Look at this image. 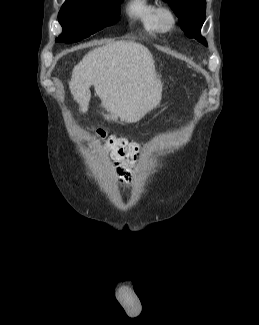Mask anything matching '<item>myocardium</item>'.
I'll list each match as a JSON object with an SVG mask.
<instances>
[{
	"mask_svg": "<svg viewBox=\"0 0 259 325\" xmlns=\"http://www.w3.org/2000/svg\"><path fill=\"white\" fill-rule=\"evenodd\" d=\"M157 22L164 32L172 30L177 23V14L173 7L162 5L157 10Z\"/></svg>",
	"mask_w": 259,
	"mask_h": 325,
	"instance_id": "f54148a6",
	"label": "myocardium"
}]
</instances>
